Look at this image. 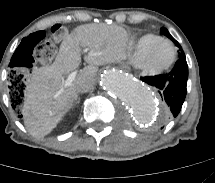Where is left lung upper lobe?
Returning a JSON list of instances; mask_svg holds the SVG:
<instances>
[{
	"label": "left lung upper lobe",
	"mask_w": 215,
	"mask_h": 183,
	"mask_svg": "<svg viewBox=\"0 0 215 183\" xmlns=\"http://www.w3.org/2000/svg\"><path fill=\"white\" fill-rule=\"evenodd\" d=\"M161 32H162V34H164L165 36H167L168 38H170L171 40H173L174 43L179 47V50H180V51H179V58L185 56V54H184V52H183L181 46H180L179 43L170 35V33L168 32V30L165 29V28H162V29H161Z\"/></svg>",
	"instance_id": "left-lung-upper-lobe-1"
}]
</instances>
